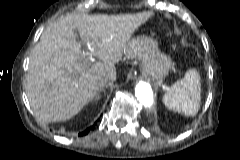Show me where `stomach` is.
I'll return each instance as SVG.
<instances>
[{"label": "stomach", "instance_id": "obj_1", "mask_svg": "<svg viewBox=\"0 0 240 160\" xmlns=\"http://www.w3.org/2000/svg\"><path fill=\"white\" fill-rule=\"evenodd\" d=\"M129 56L138 57L142 62V70L157 81H162L169 73L171 60L162 53L157 42L146 36L133 40V45L127 51Z\"/></svg>", "mask_w": 240, "mask_h": 160}]
</instances>
